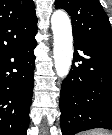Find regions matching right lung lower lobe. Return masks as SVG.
<instances>
[{"label":"right lung lower lobe","mask_w":112,"mask_h":135,"mask_svg":"<svg viewBox=\"0 0 112 135\" xmlns=\"http://www.w3.org/2000/svg\"><path fill=\"white\" fill-rule=\"evenodd\" d=\"M34 37L0 55V135H26L34 86Z\"/></svg>","instance_id":"right-lung-lower-lobe-1"}]
</instances>
